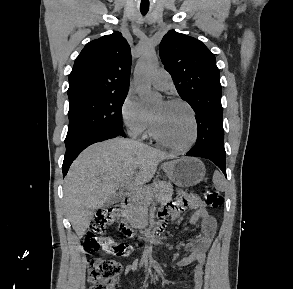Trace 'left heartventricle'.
<instances>
[{"label":"left heart ventricle","instance_id":"left-heart-ventricle-1","mask_svg":"<svg viewBox=\"0 0 293 289\" xmlns=\"http://www.w3.org/2000/svg\"><path fill=\"white\" fill-rule=\"evenodd\" d=\"M159 135L174 145H186L193 134L190 112L179 104L160 103L152 112Z\"/></svg>","mask_w":293,"mask_h":289}]
</instances>
